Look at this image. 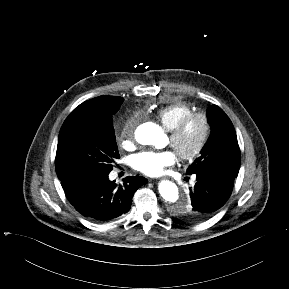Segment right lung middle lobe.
<instances>
[{"mask_svg":"<svg viewBox=\"0 0 289 289\" xmlns=\"http://www.w3.org/2000/svg\"><path fill=\"white\" fill-rule=\"evenodd\" d=\"M123 101L99 96L70 113L60 129L55 159L61 181L110 173L120 157L112 117Z\"/></svg>","mask_w":289,"mask_h":289,"instance_id":"1","label":"right lung middle lobe"}]
</instances>
